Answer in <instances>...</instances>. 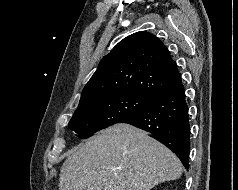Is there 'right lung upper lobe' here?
Listing matches in <instances>:
<instances>
[{
    "label": "right lung upper lobe",
    "mask_w": 238,
    "mask_h": 190,
    "mask_svg": "<svg viewBox=\"0 0 238 190\" xmlns=\"http://www.w3.org/2000/svg\"><path fill=\"white\" fill-rule=\"evenodd\" d=\"M181 81L176 62L153 34L140 31L119 42L99 63L80 103L116 94L156 100Z\"/></svg>",
    "instance_id": "cb5924a9"
}]
</instances>
